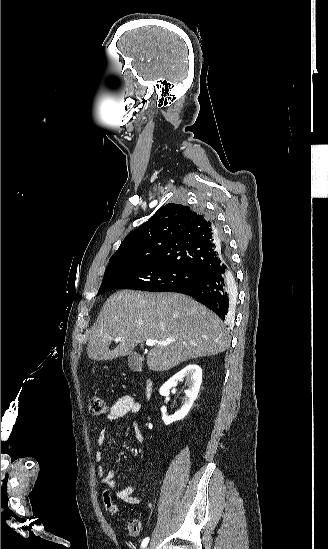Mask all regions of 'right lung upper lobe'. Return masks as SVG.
<instances>
[{"instance_id": "obj_1", "label": "right lung upper lobe", "mask_w": 328, "mask_h": 549, "mask_svg": "<svg viewBox=\"0 0 328 549\" xmlns=\"http://www.w3.org/2000/svg\"><path fill=\"white\" fill-rule=\"evenodd\" d=\"M226 257V244L213 221L188 206L169 203L125 237L106 272L136 261L180 266L205 274L217 269Z\"/></svg>"}]
</instances>
